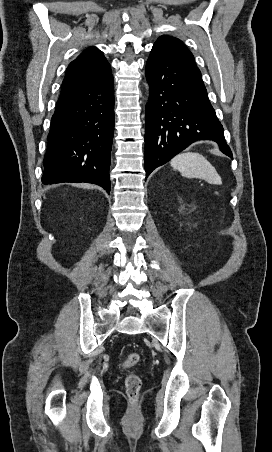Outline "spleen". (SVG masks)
Returning a JSON list of instances; mask_svg holds the SVG:
<instances>
[{"instance_id": "obj_1", "label": "spleen", "mask_w": 272, "mask_h": 452, "mask_svg": "<svg viewBox=\"0 0 272 452\" xmlns=\"http://www.w3.org/2000/svg\"><path fill=\"white\" fill-rule=\"evenodd\" d=\"M170 164L184 177L204 179L210 184H222L216 169L199 153H180L171 160Z\"/></svg>"}]
</instances>
